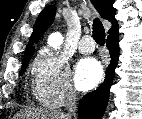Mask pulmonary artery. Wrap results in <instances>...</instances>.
<instances>
[{
  "label": "pulmonary artery",
  "mask_w": 142,
  "mask_h": 119,
  "mask_svg": "<svg viewBox=\"0 0 142 119\" xmlns=\"http://www.w3.org/2000/svg\"><path fill=\"white\" fill-rule=\"evenodd\" d=\"M78 49L83 54H91L95 50V44L90 36H84L79 44Z\"/></svg>",
  "instance_id": "e3ab8cb5"
}]
</instances>
